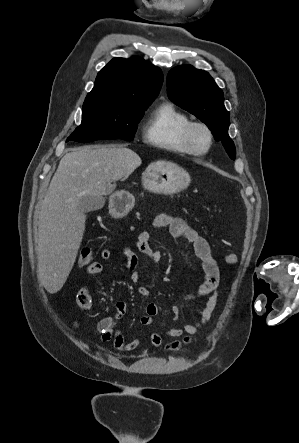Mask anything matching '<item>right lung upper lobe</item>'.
<instances>
[{"label":"right lung upper lobe","instance_id":"obj_1","mask_svg":"<svg viewBox=\"0 0 299 443\" xmlns=\"http://www.w3.org/2000/svg\"><path fill=\"white\" fill-rule=\"evenodd\" d=\"M163 83L162 71L139 58H114L97 75L87 97L153 102Z\"/></svg>","mask_w":299,"mask_h":443}]
</instances>
